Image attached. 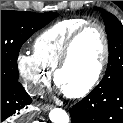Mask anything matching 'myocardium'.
I'll use <instances>...</instances> for the list:
<instances>
[{
  "label": "myocardium",
  "instance_id": "1",
  "mask_svg": "<svg viewBox=\"0 0 123 123\" xmlns=\"http://www.w3.org/2000/svg\"><path fill=\"white\" fill-rule=\"evenodd\" d=\"M92 27L97 28L100 31V34L102 37V42H103V51H102L101 60L98 65V69H97L95 75L93 76V78L81 89H78V90L72 91V92L64 91V93L68 97H72V98L83 97V96L87 95L88 93H90L100 82L102 75L105 71L106 65L108 63L110 47H109V39H108L105 28L98 22H93V21L87 22V23L83 24L81 27H79L77 30H75L66 40V42L62 48L59 60L53 69L54 81L56 84L59 85V83H58L59 74L64 69V67L67 65L76 40L86 30H88L89 28H92Z\"/></svg>",
  "mask_w": 123,
  "mask_h": 123
}]
</instances>
